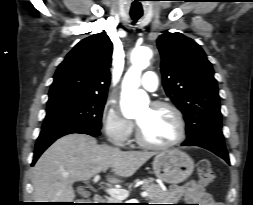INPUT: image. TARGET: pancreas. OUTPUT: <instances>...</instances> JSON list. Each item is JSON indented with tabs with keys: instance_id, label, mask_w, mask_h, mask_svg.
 Wrapping results in <instances>:
<instances>
[{
	"instance_id": "pancreas-1",
	"label": "pancreas",
	"mask_w": 253,
	"mask_h": 205,
	"mask_svg": "<svg viewBox=\"0 0 253 205\" xmlns=\"http://www.w3.org/2000/svg\"><path fill=\"white\" fill-rule=\"evenodd\" d=\"M144 181L145 182L142 185V189L149 193V199L151 201L167 200L169 193L167 191H164L158 184L153 183L152 178L144 179ZM135 182L137 183L139 180H136ZM107 203H122V201L111 197Z\"/></svg>"
}]
</instances>
